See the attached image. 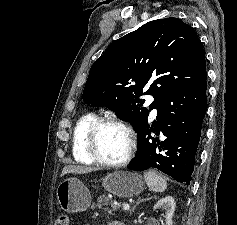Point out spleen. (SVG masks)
<instances>
[{"label":"spleen","mask_w":237,"mask_h":225,"mask_svg":"<svg viewBox=\"0 0 237 225\" xmlns=\"http://www.w3.org/2000/svg\"><path fill=\"white\" fill-rule=\"evenodd\" d=\"M144 179L148 187L155 192H163L167 188L165 179L154 170L146 172Z\"/></svg>","instance_id":"3e777b00"}]
</instances>
